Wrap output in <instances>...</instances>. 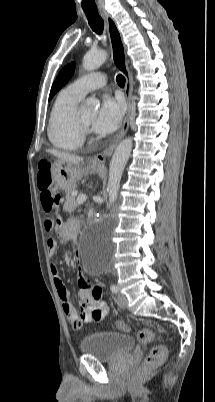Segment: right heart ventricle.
I'll return each mask as SVG.
<instances>
[{
    "instance_id": "obj_1",
    "label": "right heart ventricle",
    "mask_w": 215,
    "mask_h": 402,
    "mask_svg": "<svg viewBox=\"0 0 215 402\" xmlns=\"http://www.w3.org/2000/svg\"><path fill=\"white\" fill-rule=\"evenodd\" d=\"M82 97L68 88L57 95L49 117L48 138L51 144L62 150H76L84 141V134L76 122L78 104Z\"/></svg>"
}]
</instances>
